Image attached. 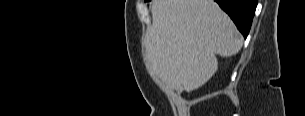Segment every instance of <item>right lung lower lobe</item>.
<instances>
[{
	"instance_id": "obj_1",
	"label": "right lung lower lobe",
	"mask_w": 305,
	"mask_h": 116,
	"mask_svg": "<svg viewBox=\"0 0 305 116\" xmlns=\"http://www.w3.org/2000/svg\"><path fill=\"white\" fill-rule=\"evenodd\" d=\"M231 17L238 30L246 38L255 14L257 0H215Z\"/></svg>"
}]
</instances>
